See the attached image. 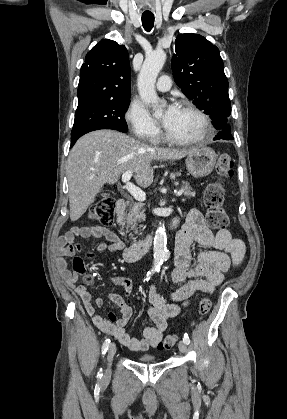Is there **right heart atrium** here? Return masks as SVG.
<instances>
[{
	"instance_id": "1",
	"label": "right heart atrium",
	"mask_w": 287,
	"mask_h": 419,
	"mask_svg": "<svg viewBox=\"0 0 287 419\" xmlns=\"http://www.w3.org/2000/svg\"><path fill=\"white\" fill-rule=\"evenodd\" d=\"M125 120L131 132L142 140L152 141L160 133L156 121L150 116L146 107L138 100H133L130 103L125 113Z\"/></svg>"
}]
</instances>
